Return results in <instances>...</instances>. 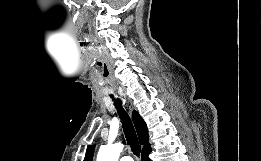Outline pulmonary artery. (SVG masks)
Listing matches in <instances>:
<instances>
[{
	"label": "pulmonary artery",
	"mask_w": 261,
	"mask_h": 161,
	"mask_svg": "<svg viewBox=\"0 0 261 161\" xmlns=\"http://www.w3.org/2000/svg\"><path fill=\"white\" fill-rule=\"evenodd\" d=\"M120 161H133V160L129 156H123V157H121Z\"/></svg>",
	"instance_id": "obj_1"
}]
</instances>
